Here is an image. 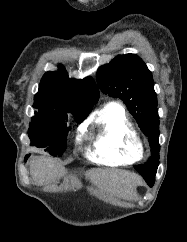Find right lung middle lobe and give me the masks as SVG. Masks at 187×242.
<instances>
[{"mask_svg": "<svg viewBox=\"0 0 187 242\" xmlns=\"http://www.w3.org/2000/svg\"><path fill=\"white\" fill-rule=\"evenodd\" d=\"M78 123L86 116H74ZM67 115L45 116L36 115L32 117L28 134L30 145L37 148H45L53 156H61L66 149V140L70 128L66 123Z\"/></svg>", "mask_w": 187, "mask_h": 242, "instance_id": "dd1d6c3e", "label": "right lung middle lobe"}]
</instances>
